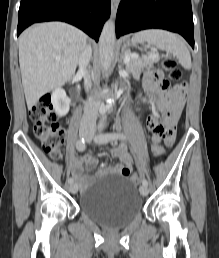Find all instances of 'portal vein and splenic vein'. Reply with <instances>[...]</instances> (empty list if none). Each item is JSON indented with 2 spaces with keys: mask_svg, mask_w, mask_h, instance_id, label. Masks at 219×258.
<instances>
[{
  "mask_svg": "<svg viewBox=\"0 0 219 258\" xmlns=\"http://www.w3.org/2000/svg\"><path fill=\"white\" fill-rule=\"evenodd\" d=\"M158 57V54L155 53V54H152L148 57H146V59H154V58H157ZM130 60V56H126L125 59H124V63L127 64Z\"/></svg>",
  "mask_w": 219,
  "mask_h": 258,
  "instance_id": "portal-vein-and-splenic-vein-1",
  "label": "portal vein and splenic vein"
}]
</instances>
